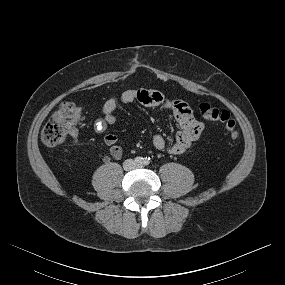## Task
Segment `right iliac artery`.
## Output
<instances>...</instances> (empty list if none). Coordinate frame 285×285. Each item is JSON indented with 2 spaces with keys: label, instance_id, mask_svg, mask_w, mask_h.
Instances as JSON below:
<instances>
[{
  "label": "right iliac artery",
  "instance_id": "right-iliac-artery-1",
  "mask_svg": "<svg viewBox=\"0 0 285 285\" xmlns=\"http://www.w3.org/2000/svg\"><path fill=\"white\" fill-rule=\"evenodd\" d=\"M143 160H144V158H142V157H136L135 158V163H137V164H142L143 163Z\"/></svg>",
  "mask_w": 285,
  "mask_h": 285
}]
</instances>
